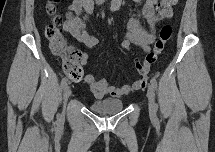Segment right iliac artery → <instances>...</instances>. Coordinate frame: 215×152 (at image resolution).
I'll return each mask as SVG.
<instances>
[{"instance_id":"right-iliac-artery-1","label":"right iliac artery","mask_w":215,"mask_h":152,"mask_svg":"<svg viewBox=\"0 0 215 152\" xmlns=\"http://www.w3.org/2000/svg\"><path fill=\"white\" fill-rule=\"evenodd\" d=\"M67 81H68V79L66 77L62 79V81H61V89L62 90L65 89V87L67 85Z\"/></svg>"}]
</instances>
